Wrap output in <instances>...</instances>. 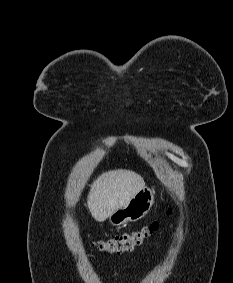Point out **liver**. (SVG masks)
<instances>
[{
	"label": "liver",
	"instance_id": "6515ba94",
	"mask_svg": "<svg viewBox=\"0 0 233 283\" xmlns=\"http://www.w3.org/2000/svg\"><path fill=\"white\" fill-rule=\"evenodd\" d=\"M144 187L143 178L130 170H110L101 174L91 184L87 197L92 217L99 222L105 221Z\"/></svg>",
	"mask_w": 233,
	"mask_h": 283
}]
</instances>
